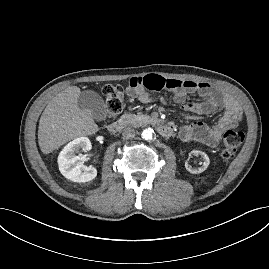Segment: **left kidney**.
<instances>
[{"label": "left kidney", "mask_w": 269, "mask_h": 269, "mask_svg": "<svg viewBox=\"0 0 269 269\" xmlns=\"http://www.w3.org/2000/svg\"><path fill=\"white\" fill-rule=\"evenodd\" d=\"M191 154L200 156L203 159V162L200 163V167L193 168L191 165H189L188 161L185 162V168L187 171H189L192 174H198L207 169V167L210 164L209 157L205 152L199 151V150H192Z\"/></svg>", "instance_id": "1"}]
</instances>
